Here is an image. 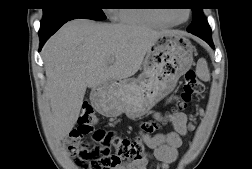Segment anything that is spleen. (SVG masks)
I'll return each mask as SVG.
<instances>
[{
	"instance_id": "obj_1",
	"label": "spleen",
	"mask_w": 252,
	"mask_h": 169,
	"mask_svg": "<svg viewBox=\"0 0 252 169\" xmlns=\"http://www.w3.org/2000/svg\"><path fill=\"white\" fill-rule=\"evenodd\" d=\"M196 72L198 77L203 80V81H209L210 80V75H209V70L207 66V62L205 59H199L197 63V68Z\"/></svg>"
}]
</instances>
